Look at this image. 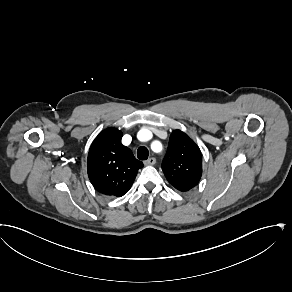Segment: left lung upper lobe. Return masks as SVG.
<instances>
[{"label": "left lung upper lobe", "instance_id": "obj_1", "mask_svg": "<svg viewBox=\"0 0 292 292\" xmlns=\"http://www.w3.org/2000/svg\"><path fill=\"white\" fill-rule=\"evenodd\" d=\"M162 170L168 182L181 192L188 191L199 183L202 176L201 151L184 132H172Z\"/></svg>", "mask_w": 292, "mask_h": 292}]
</instances>
